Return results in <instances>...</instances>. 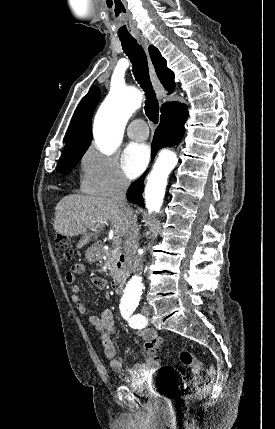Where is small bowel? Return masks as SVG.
Here are the masks:
<instances>
[{"label": "small bowel", "mask_w": 275, "mask_h": 429, "mask_svg": "<svg viewBox=\"0 0 275 429\" xmlns=\"http://www.w3.org/2000/svg\"><path fill=\"white\" fill-rule=\"evenodd\" d=\"M84 271L85 266L82 263H76L72 265L71 272L66 275V281L71 285V300L80 314H85L87 307L80 296V286L75 284V275L82 274ZM93 283L99 288L106 286V281L102 278H94ZM88 321L101 335L103 351L110 362L111 369L121 374L124 379L139 378L158 368L159 363L153 358H148L144 362L129 368L125 365L123 358L117 356V346L113 340L115 335L114 317L111 310L104 309L100 313L91 314ZM137 334L142 337L145 346L149 342L160 339L152 329L138 330Z\"/></svg>", "instance_id": "obj_1"}]
</instances>
